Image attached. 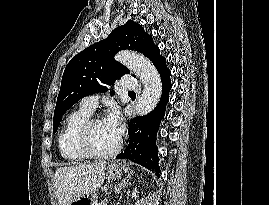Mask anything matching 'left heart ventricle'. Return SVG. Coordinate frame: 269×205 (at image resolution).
Here are the masks:
<instances>
[{"label": "left heart ventricle", "mask_w": 269, "mask_h": 205, "mask_svg": "<svg viewBox=\"0 0 269 205\" xmlns=\"http://www.w3.org/2000/svg\"><path fill=\"white\" fill-rule=\"evenodd\" d=\"M118 140L106 126L103 119L97 122L91 130V144L94 150L98 152L112 150L117 145Z\"/></svg>", "instance_id": "obj_1"}]
</instances>
